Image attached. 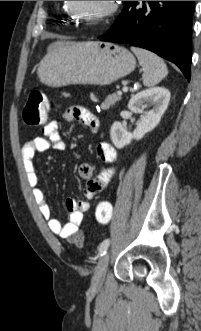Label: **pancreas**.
Wrapping results in <instances>:
<instances>
[{
  "label": "pancreas",
  "instance_id": "pancreas-1",
  "mask_svg": "<svg viewBox=\"0 0 201 331\" xmlns=\"http://www.w3.org/2000/svg\"><path fill=\"white\" fill-rule=\"evenodd\" d=\"M91 99L95 102H97V100L95 99L94 95H91ZM119 100H121V95L113 93L107 96V98L105 99V101L101 104V108L102 109H108L111 106H113L116 102H118Z\"/></svg>",
  "mask_w": 201,
  "mask_h": 331
}]
</instances>
